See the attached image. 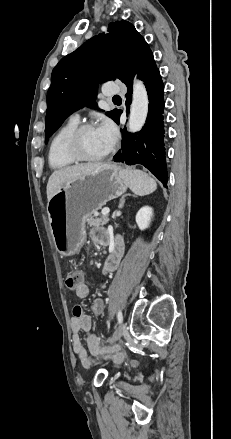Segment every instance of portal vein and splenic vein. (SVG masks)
<instances>
[{
  "label": "portal vein and splenic vein",
  "instance_id": "obj_1",
  "mask_svg": "<svg viewBox=\"0 0 231 439\" xmlns=\"http://www.w3.org/2000/svg\"><path fill=\"white\" fill-rule=\"evenodd\" d=\"M109 212H110V209L109 208H104V209H102V215H104V216H106V215H108L109 214Z\"/></svg>",
  "mask_w": 231,
  "mask_h": 439
}]
</instances>
